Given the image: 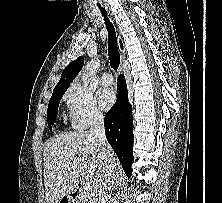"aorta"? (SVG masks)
I'll return each instance as SVG.
<instances>
[{
    "instance_id": "aorta-1",
    "label": "aorta",
    "mask_w": 222,
    "mask_h": 203,
    "mask_svg": "<svg viewBox=\"0 0 222 203\" xmlns=\"http://www.w3.org/2000/svg\"><path fill=\"white\" fill-rule=\"evenodd\" d=\"M100 67V61L92 59L90 60L83 71L82 81L85 85L89 83L91 78L97 73Z\"/></svg>"
}]
</instances>
